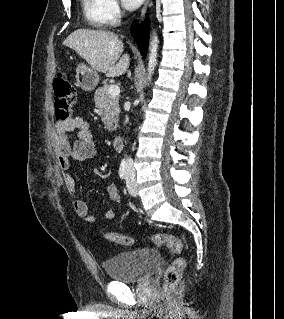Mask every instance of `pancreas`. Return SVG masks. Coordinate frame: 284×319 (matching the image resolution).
Listing matches in <instances>:
<instances>
[{
	"instance_id": "1",
	"label": "pancreas",
	"mask_w": 284,
	"mask_h": 319,
	"mask_svg": "<svg viewBox=\"0 0 284 319\" xmlns=\"http://www.w3.org/2000/svg\"><path fill=\"white\" fill-rule=\"evenodd\" d=\"M109 85L105 84L95 91L94 103L98 114L109 131L116 130L119 116V97L109 94Z\"/></svg>"
}]
</instances>
